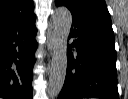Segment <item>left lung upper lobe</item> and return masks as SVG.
<instances>
[{
	"label": "left lung upper lobe",
	"instance_id": "5c2ea615",
	"mask_svg": "<svg viewBox=\"0 0 128 99\" xmlns=\"http://www.w3.org/2000/svg\"><path fill=\"white\" fill-rule=\"evenodd\" d=\"M56 6H66L73 19L102 23L112 27L104 0H55Z\"/></svg>",
	"mask_w": 128,
	"mask_h": 99
}]
</instances>
